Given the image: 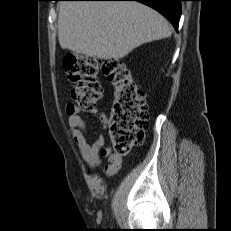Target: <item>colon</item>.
<instances>
[{
	"mask_svg": "<svg viewBox=\"0 0 231 231\" xmlns=\"http://www.w3.org/2000/svg\"><path fill=\"white\" fill-rule=\"evenodd\" d=\"M63 68L75 83L72 98L84 110L93 109L101 99L100 72L112 83L109 136L117 155H125L132 146L142 143L148 128L146 98L123 62L110 60L99 64L92 58L69 54L63 59Z\"/></svg>",
	"mask_w": 231,
	"mask_h": 231,
	"instance_id": "colon-1",
	"label": "colon"
}]
</instances>
